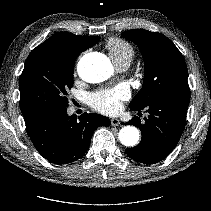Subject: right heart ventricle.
Wrapping results in <instances>:
<instances>
[{"label":"right heart ventricle","mask_w":211,"mask_h":211,"mask_svg":"<svg viewBox=\"0 0 211 211\" xmlns=\"http://www.w3.org/2000/svg\"><path fill=\"white\" fill-rule=\"evenodd\" d=\"M106 48L112 62L116 66L122 63L130 64L135 55L132 45L129 42L117 37L110 38L106 42Z\"/></svg>","instance_id":"e07e8e85"}]
</instances>
